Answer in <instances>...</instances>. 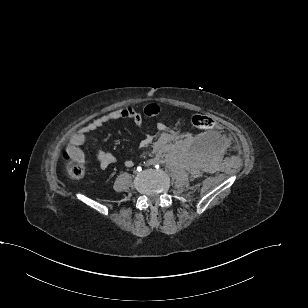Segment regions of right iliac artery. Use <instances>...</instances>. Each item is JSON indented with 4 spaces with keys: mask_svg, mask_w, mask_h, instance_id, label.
Instances as JSON below:
<instances>
[{
    "mask_svg": "<svg viewBox=\"0 0 308 308\" xmlns=\"http://www.w3.org/2000/svg\"><path fill=\"white\" fill-rule=\"evenodd\" d=\"M142 170V168L141 167H137V171H141Z\"/></svg>",
    "mask_w": 308,
    "mask_h": 308,
    "instance_id": "right-iliac-artery-1",
    "label": "right iliac artery"
}]
</instances>
